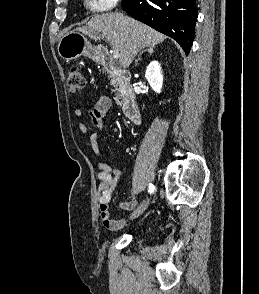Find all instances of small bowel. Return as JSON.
Here are the masks:
<instances>
[{
	"label": "small bowel",
	"instance_id": "small-bowel-1",
	"mask_svg": "<svg viewBox=\"0 0 259 294\" xmlns=\"http://www.w3.org/2000/svg\"><path fill=\"white\" fill-rule=\"evenodd\" d=\"M110 99L106 96L100 97L92 108L89 110V115L92 120L93 125L99 130L104 129V118L107 111L110 108ZM74 115L77 118H81L83 111L79 108L75 109ZM79 129L82 133L86 134L88 132L87 126L84 123L79 124ZM90 145L93 152L101 157V151L98 146V133L94 132L89 137ZM99 172L97 178L100 181L99 190H98V202L100 210V219L104 227L109 230L116 231L121 229L126 221L124 219L114 220L110 216L109 204L112 200L113 194L117 187L118 182L122 177V171L118 168H114L108 163L102 161L97 164ZM137 205L136 200L128 199L119 204L120 209L129 211L132 210Z\"/></svg>",
	"mask_w": 259,
	"mask_h": 294
}]
</instances>
